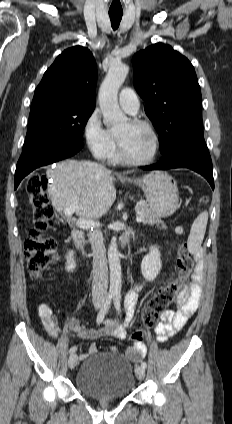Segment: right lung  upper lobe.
<instances>
[{"instance_id":"cb5924a9","label":"right lung upper lobe","mask_w":232,"mask_h":424,"mask_svg":"<svg viewBox=\"0 0 232 424\" xmlns=\"http://www.w3.org/2000/svg\"><path fill=\"white\" fill-rule=\"evenodd\" d=\"M97 65L92 53L75 46L63 51L37 86L31 108L49 104L95 108Z\"/></svg>"}]
</instances>
